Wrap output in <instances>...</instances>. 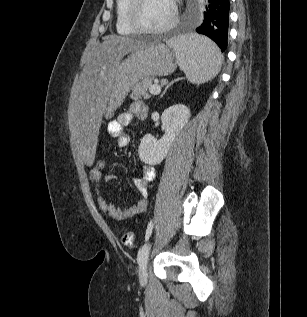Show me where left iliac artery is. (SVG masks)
<instances>
[{
    "mask_svg": "<svg viewBox=\"0 0 307 317\" xmlns=\"http://www.w3.org/2000/svg\"><path fill=\"white\" fill-rule=\"evenodd\" d=\"M152 230H153V222L151 220L150 223L148 224V227H147V230H146L145 241H147L149 239V237L151 236Z\"/></svg>",
    "mask_w": 307,
    "mask_h": 317,
    "instance_id": "left-iliac-artery-1",
    "label": "left iliac artery"
}]
</instances>
